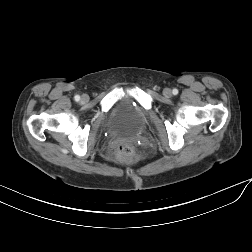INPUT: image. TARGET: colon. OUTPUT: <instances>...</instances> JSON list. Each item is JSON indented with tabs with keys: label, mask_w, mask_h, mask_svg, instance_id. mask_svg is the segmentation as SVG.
Masks as SVG:
<instances>
[{
	"label": "colon",
	"mask_w": 252,
	"mask_h": 252,
	"mask_svg": "<svg viewBox=\"0 0 252 252\" xmlns=\"http://www.w3.org/2000/svg\"><path fill=\"white\" fill-rule=\"evenodd\" d=\"M117 157L126 162H132L139 158L136 147L131 143H123L117 148Z\"/></svg>",
	"instance_id": "5ec220e1"
}]
</instances>
